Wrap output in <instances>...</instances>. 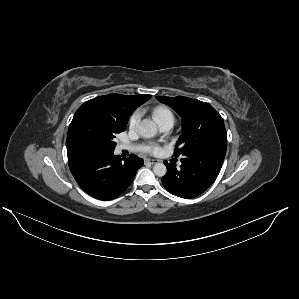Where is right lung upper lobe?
<instances>
[{
	"mask_svg": "<svg viewBox=\"0 0 299 299\" xmlns=\"http://www.w3.org/2000/svg\"><path fill=\"white\" fill-rule=\"evenodd\" d=\"M151 95H121L109 94L93 98L80 106L76 111L74 118L95 113L103 114L119 120H128L131 113L150 99ZM79 149L72 145L67 135V153Z\"/></svg>",
	"mask_w": 299,
	"mask_h": 299,
	"instance_id": "right-lung-upper-lobe-1",
	"label": "right lung upper lobe"
}]
</instances>
